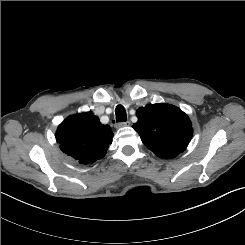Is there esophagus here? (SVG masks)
Returning a JSON list of instances; mask_svg holds the SVG:
<instances>
[{"instance_id":"obj_1","label":"esophagus","mask_w":245,"mask_h":245,"mask_svg":"<svg viewBox=\"0 0 245 245\" xmlns=\"http://www.w3.org/2000/svg\"><path fill=\"white\" fill-rule=\"evenodd\" d=\"M130 124L129 121H124V122H119L116 124V127H124V126H128Z\"/></svg>"}]
</instances>
